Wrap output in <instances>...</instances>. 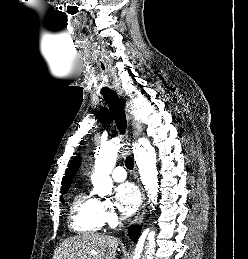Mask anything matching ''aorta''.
<instances>
[{"label":"aorta","instance_id":"obj_1","mask_svg":"<svg viewBox=\"0 0 248 259\" xmlns=\"http://www.w3.org/2000/svg\"><path fill=\"white\" fill-rule=\"evenodd\" d=\"M123 146L119 139H114L102 145L95 160L94 173L91 176L94 191L100 196L108 195L113 187L109 176L113 170L119 148ZM134 159L139 169L143 185L148 193L151 206L157 204L158 172L156 168V152L148 140H141L134 145ZM155 232L151 231L147 237L145 248L137 246L133 259H153L155 252Z\"/></svg>","mask_w":248,"mask_h":259}]
</instances>
